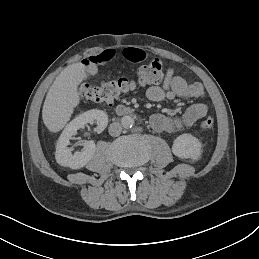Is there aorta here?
Masks as SVG:
<instances>
[{"mask_svg":"<svg viewBox=\"0 0 259 259\" xmlns=\"http://www.w3.org/2000/svg\"><path fill=\"white\" fill-rule=\"evenodd\" d=\"M121 124L124 128L128 129L134 125V119L131 116H123L121 119Z\"/></svg>","mask_w":259,"mask_h":259,"instance_id":"762f6f07","label":"aorta"}]
</instances>
